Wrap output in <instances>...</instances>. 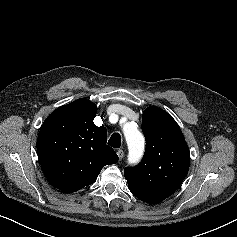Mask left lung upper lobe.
I'll return each mask as SVG.
<instances>
[{
	"instance_id": "5c2ea615",
	"label": "left lung upper lobe",
	"mask_w": 237,
	"mask_h": 237,
	"mask_svg": "<svg viewBox=\"0 0 237 237\" xmlns=\"http://www.w3.org/2000/svg\"><path fill=\"white\" fill-rule=\"evenodd\" d=\"M142 130L146 150L142 162L125 168L129 190L141 201L159 203L172 195L186 177L190 153L176 121L163 109L143 112Z\"/></svg>"
}]
</instances>
